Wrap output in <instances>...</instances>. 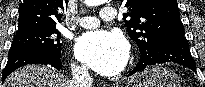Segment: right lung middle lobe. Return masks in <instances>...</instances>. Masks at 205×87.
<instances>
[{"label": "right lung middle lobe", "instance_id": "obj_1", "mask_svg": "<svg viewBox=\"0 0 205 87\" xmlns=\"http://www.w3.org/2000/svg\"><path fill=\"white\" fill-rule=\"evenodd\" d=\"M60 32L55 28L33 29L16 33L10 50L35 49L61 56Z\"/></svg>", "mask_w": 205, "mask_h": 87}]
</instances>
